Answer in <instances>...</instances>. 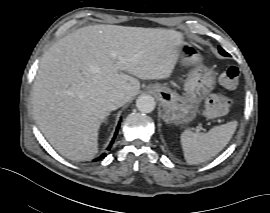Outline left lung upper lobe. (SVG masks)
I'll use <instances>...</instances> for the list:
<instances>
[{"label": "left lung upper lobe", "mask_w": 270, "mask_h": 213, "mask_svg": "<svg viewBox=\"0 0 270 213\" xmlns=\"http://www.w3.org/2000/svg\"><path fill=\"white\" fill-rule=\"evenodd\" d=\"M218 49H219V52H220L221 55L229 56V54L225 50H223L221 47H219Z\"/></svg>", "instance_id": "1"}]
</instances>
